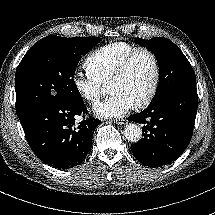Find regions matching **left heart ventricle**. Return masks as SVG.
<instances>
[{"instance_id": "left-heart-ventricle-1", "label": "left heart ventricle", "mask_w": 215, "mask_h": 215, "mask_svg": "<svg viewBox=\"0 0 215 215\" xmlns=\"http://www.w3.org/2000/svg\"><path fill=\"white\" fill-rule=\"evenodd\" d=\"M153 77V64L146 53L137 54L126 72L108 83V91L126 95L133 105L139 103L147 94Z\"/></svg>"}]
</instances>
